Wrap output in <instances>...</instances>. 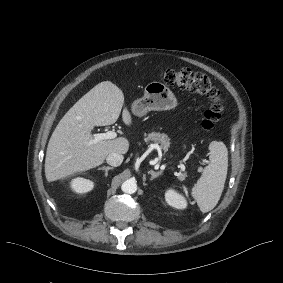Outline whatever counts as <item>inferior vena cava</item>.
<instances>
[{"label": "inferior vena cava", "mask_w": 283, "mask_h": 283, "mask_svg": "<svg viewBox=\"0 0 283 283\" xmlns=\"http://www.w3.org/2000/svg\"><path fill=\"white\" fill-rule=\"evenodd\" d=\"M106 161L111 166H120L123 162V155L118 153H111L107 156Z\"/></svg>", "instance_id": "obj_1"}]
</instances>
